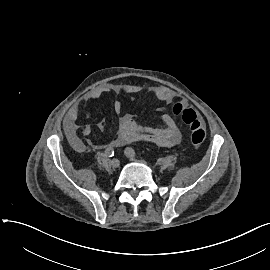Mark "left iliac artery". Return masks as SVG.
I'll use <instances>...</instances> for the list:
<instances>
[{
	"mask_svg": "<svg viewBox=\"0 0 270 270\" xmlns=\"http://www.w3.org/2000/svg\"><path fill=\"white\" fill-rule=\"evenodd\" d=\"M125 153H128V154H130L131 156H136V153H135L134 149H132V148H130V147H127V148L125 149Z\"/></svg>",
	"mask_w": 270,
	"mask_h": 270,
	"instance_id": "1",
	"label": "left iliac artery"
}]
</instances>
